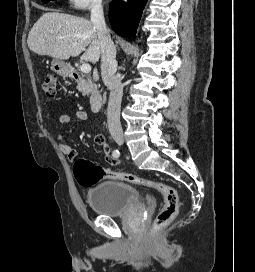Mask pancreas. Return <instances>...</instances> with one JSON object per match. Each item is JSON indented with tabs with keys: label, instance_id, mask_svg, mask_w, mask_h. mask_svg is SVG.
<instances>
[{
	"label": "pancreas",
	"instance_id": "pancreas-1",
	"mask_svg": "<svg viewBox=\"0 0 255 272\" xmlns=\"http://www.w3.org/2000/svg\"><path fill=\"white\" fill-rule=\"evenodd\" d=\"M77 89L83 94H86L92 89H97V85L92 81L91 77L88 76L86 82L78 83Z\"/></svg>",
	"mask_w": 255,
	"mask_h": 272
}]
</instances>
